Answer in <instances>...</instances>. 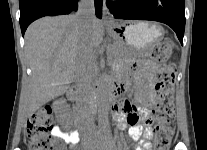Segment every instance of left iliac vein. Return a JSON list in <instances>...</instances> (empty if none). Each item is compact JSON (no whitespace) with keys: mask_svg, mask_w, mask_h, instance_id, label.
<instances>
[{"mask_svg":"<svg viewBox=\"0 0 207 150\" xmlns=\"http://www.w3.org/2000/svg\"><path fill=\"white\" fill-rule=\"evenodd\" d=\"M117 150V147L115 146L114 142L108 141V142H102L100 144H96L95 142L90 147L89 150Z\"/></svg>","mask_w":207,"mask_h":150,"instance_id":"obj_1","label":"left iliac vein"}]
</instances>
